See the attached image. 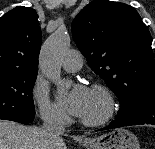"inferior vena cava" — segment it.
Returning a JSON list of instances; mask_svg holds the SVG:
<instances>
[{"instance_id": "1", "label": "inferior vena cava", "mask_w": 155, "mask_h": 149, "mask_svg": "<svg viewBox=\"0 0 155 149\" xmlns=\"http://www.w3.org/2000/svg\"><path fill=\"white\" fill-rule=\"evenodd\" d=\"M43 130L51 143L61 141V135L65 131L64 122L61 116L53 111L42 114Z\"/></svg>"}]
</instances>
